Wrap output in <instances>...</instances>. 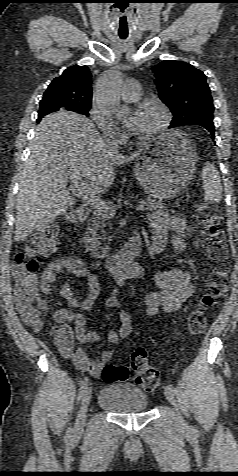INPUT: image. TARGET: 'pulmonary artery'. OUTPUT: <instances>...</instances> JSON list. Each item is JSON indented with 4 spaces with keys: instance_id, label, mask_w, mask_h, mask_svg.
<instances>
[{
    "instance_id": "1",
    "label": "pulmonary artery",
    "mask_w": 238,
    "mask_h": 476,
    "mask_svg": "<svg viewBox=\"0 0 238 476\" xmlns=\"http://www.w3.org/2000/svg\"><path fill=\"white\" fill-rule=\"evenodd\" d=\"M121 97L125 102H134L141 97V85L136 80H127L121 92Z\"/></svg>"
}]
</instances>
